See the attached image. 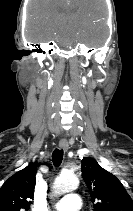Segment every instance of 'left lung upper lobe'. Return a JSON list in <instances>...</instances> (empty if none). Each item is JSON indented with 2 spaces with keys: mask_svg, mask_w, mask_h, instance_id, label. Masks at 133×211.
Here are the masks:
<instances>
[{
  "mask_svg": "<svg viewBox=\"0 0 133 211\" xmlns=\"http://www.w3.org/2000/svg\"><path fill=\"white\" fill-rule=\"evenodd\" d=\"M81 171L94 211H133V200L122 183L95 159L83 158Z\"/></svg>",
  "mask_w": 133,
  "mask_h": 211,
  "instance_id": "left-lung-upper-lobe-1",
  "label": "left lung upper lobe"
}]
</instances>
